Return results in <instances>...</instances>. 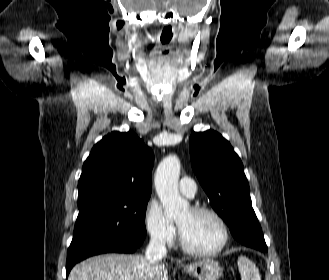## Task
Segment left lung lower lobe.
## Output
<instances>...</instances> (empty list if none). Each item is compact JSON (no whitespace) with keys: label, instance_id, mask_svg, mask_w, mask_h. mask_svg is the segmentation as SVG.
<instances>
[{"label":"left lung lower lobe","instance_id":"0a47b994","mask_svg":"<svg viewBox=\"0 0 329 280\" xmlns=\"http://www.w3.org/2000/svg\"><path fill=\"white\" fill-rule=\"evenodd\" d=\"M248 234H251V235L256 234L258 236H263L261 227H260L259 222L257 220L255 222H253L251 225H249L248 227H238L232 233L234 238L238 241H240L242 238H244ZM251 247L255 248V249H258V250H261L263 252L267 251V246H260V247L251 246Z\"/></svg>","mask_w":329,"mask_h":280}]
</instances>
